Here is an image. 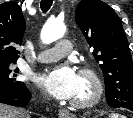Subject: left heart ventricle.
Here are the masks:
<instances>
[{"label": "left heart ventricle", "mask_w": 133, "mask_h": 118, "mask_svg": "<svg viewBox=\"0 0 133 118\" xmlns=\"http://www.w3.org/2000/svg\"><path fill=\"white\" fill-rule=\"evenodd\" d=\"M79 78H80V86L74 99H85L90 95L91 92L90 85L87 82V80L83 79L81 76Z\"/></svg>", "instance_id": "left-heart-ventricle-1"}]
</instances>
